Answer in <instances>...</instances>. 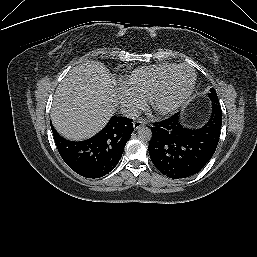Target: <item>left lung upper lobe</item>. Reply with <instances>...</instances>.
<instances>
[{
  "mask_svg": "<svg viewBox=\"0 0 257 257\" xmlns=\"http://www.w3.org/2000/svg\"><path fill=\"white\" fill-rule=\"evenodd\" d=\"M207 95L212 102L219 103V100H218L217 93H216L215 89L211 88L210 93H208Z\"/></svg>",
  "mask_w": 257,
  "mask_h": 257,
  "instance_id": "1",
  "label": "left lung upper lobe"
}]
</instances>
